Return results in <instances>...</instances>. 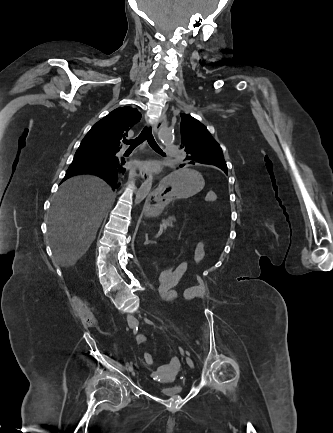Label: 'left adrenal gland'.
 <instances>
[{"label": "left adrenal gland", "mask_w": 333, "mask_h": 433, "mask_svg": "<svg viewBox=\"0 0 333 433\" xmlns=\"http://www.w3.org/2000/svg\"><path fill=\"white\" fill-rule=\"evenodd\" d=\"M148 244H155V242H154V241H150L149 238H148V234H145V242H144V245L146 246V245H148Z\"/></svg>", "instance_id": "obj_1"}]
</instances>
